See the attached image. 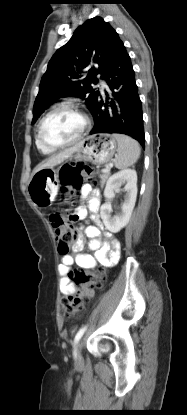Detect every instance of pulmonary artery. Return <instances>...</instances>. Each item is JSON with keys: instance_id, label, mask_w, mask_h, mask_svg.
<instances>
[{"instance_id": "obj_1", "label": "pulmonary artery", "mask_w": 187, "mask_h": 415, "mask_svg": "<svg viewBox=\"0 0 187 415\" xmlns=\"http://www.w3.org/2000/svg\"><path fill=\"white\" fill-rule=\"evenodd\" d=\"M100 86H101L102 89H105L107 87V85L104 81L100 82Z\"/></svg>"}]
</instances>
